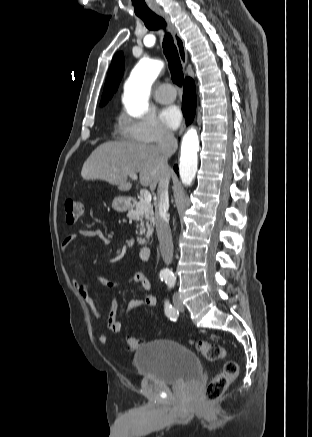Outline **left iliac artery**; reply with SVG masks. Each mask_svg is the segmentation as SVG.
Wrapping results in <instances>:
<instances>
[{
  "instance_id": "left-iliac-artery-1",
  "label": "left iliac artery",
  "mask_w": 312,
  "mask_h": 437,
  "mask_svg": "<svg viewBox=\"0 0 312 437\" xmlns=\"http://www.w3.org/2000/svg\"><path fill=\"white\" fill-rule=\"evenodd\" d=\"M163 278L161 277V280H163ZM164 280H165V282H166V284L168 285L169 288L174 287V285H175V279L174 278L166 277V278H164ZM164 306H165V314L167 315V317H169L170 319H175L177 317V312L172 307V305L169 303L168 300L165 301Z\"/></svg>"
}]
</instances>
